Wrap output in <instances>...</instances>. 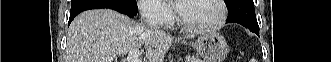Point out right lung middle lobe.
Returning a JSON list of instances; mask_svg holds the SVG:
<instances>
[{
	"instance_id": "1",
	"label": "right lung middle lobe",
	"mask_w": 331,
	"mask_h": 62,
	"mask_svg": "<svg viewBox=\"0 0 331 62\" xmlns=\"http://www.w3.org/2000/svg\"><path fill=\"white\" fill-rule=\"evenodd\" d=\"M112 6L137 15L136 0H71V10L85 6Z\"/></svg>"
}]
</instances>
